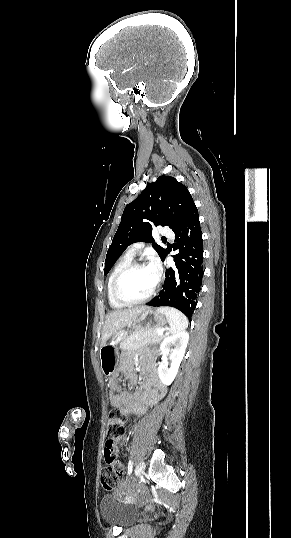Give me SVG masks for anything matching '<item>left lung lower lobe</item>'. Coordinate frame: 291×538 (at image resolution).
Wrapping results in <instances>:
<instances>
[{
    "instance_id": "left-lung-lower-lobe-1",
    "label": "left lung lower lobe",
    "mask_w": 291,
    "mask_h": 538,
    "mask_svg": "<svg viewBox=\"0 0 291 538\" xmlns=\"http://www.w3.org/2000/svg\"><path fill=\"white\" fill-rule=\"evenodd\" d=\"M173 231L176 235L174 250H179V253L173 256L176 267L166 270L162 290L147 305L175 307L191 320L204 273L202 231L197 208ZM167 254L168 251L162 261Z\"/></svg>"
}]
</instances>
